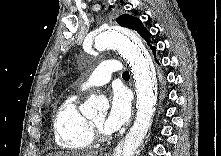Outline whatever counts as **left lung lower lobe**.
Listing matches in <instances>:
<instances>
[{"mask_svg": "<svg viewBox=\"0 0 221 156\" xmlns=\"http://www.w3.org/2000/svg\"><path fill=\"white\" fill-rule=\"evenodd\" d=\"M156 63L160 65L159 60L156 59Z\"/></svg>", "mask_w": 221, "mask_h": 156, "instance_id": "obj_1", "label": "left lung lower lobe"}]
</instances>
